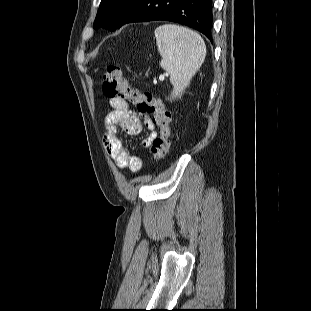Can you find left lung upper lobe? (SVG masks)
Here are the masks:
<instances>
[{
	"instance_id": "1",
	"label": "left lung upper lobe",
	"mask_w": 311,
	"mask_h": 311,
	"mask_svg": "<svg viewBox=\"0 0 311 311\" xmlns=\"http://www.w3.org/2000/svg\"><path fill=\"white\" fill-rule=\"evenodd\" d=\"M132 0H102L97 12L94 28L115 30L119 19Z\"/></svg>"
}]
</instances>
